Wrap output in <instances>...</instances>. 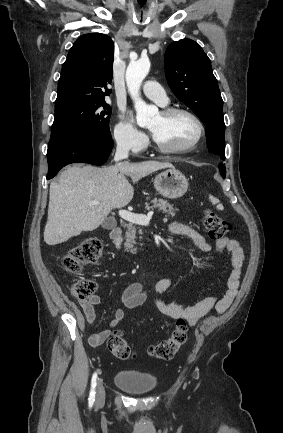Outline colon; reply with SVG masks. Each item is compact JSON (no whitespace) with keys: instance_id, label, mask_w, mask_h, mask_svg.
<instances>
[{"instance_id":"obj_1","label":"colon","mask_w":283,"mask_h":433,"mask_svg":"<svg viewBox=\"0 0 283 433\" xmlns=\"http://www.w3.org/2000/svg\"><path fill=\"white\" fill-rule=\"evenodd\" d=\"M202 223L208 236L213 240L222 239L230 230V224L215 211L206 209ZM103 243L98 237H90L71 248L63 258L64 268L71 273H79L85 266L96 262L102 255ZM96 290V284L89 279H81L74 283L71 292L78 299L89 298ZM187 323L178 319L169 338L152 345L149 354L154 358L168 360L172 358L187 342ZM108 349L117 359L127 360L134 353L120 331L114 332L108 339Z\"/></svg>"}]
</instances>
